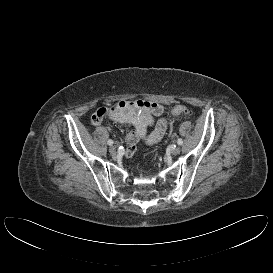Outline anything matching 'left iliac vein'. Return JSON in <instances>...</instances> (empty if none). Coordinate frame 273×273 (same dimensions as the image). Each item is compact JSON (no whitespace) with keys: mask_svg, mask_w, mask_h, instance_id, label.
<instances>
[{"mask_svg":"<svg viewBox=\"0 0 273 273\" xmlns=\"http://www.w3.org/2000/svg\"><path fill=\"white\" fill-rule=\"evenodd\" d=\"M181 151V148L179 146H176L172 149V155H178Z\"/></svg>","mask_w":273,"mask_h":273,"instance_id":"4c4485c4","label":"left iliac vein"}]
</instances>
